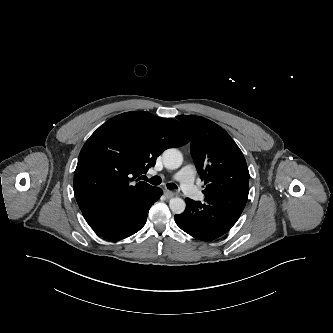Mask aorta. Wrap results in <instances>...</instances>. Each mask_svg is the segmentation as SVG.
Here are the masks:
<instances>
[{
	"mask_svg": "<svg viewBox=\"0 0 333 333\" xmlns=\"http://www.w3.org/2000/svg\"><path fill=\"white\" fill-rule=\"evenodd\" d=\"M163 164L167 169H177L182 165V153L174 148L167 149L162 155ZM169 207L174 214H181L186 208V203L179 197L172 198L169 202Z\"/></svg>",
	"mask_w": 333,
	"mask_h": 333,
	"instance_id": "aorta-1",
	"label": "aorta"
}]
</instances>
